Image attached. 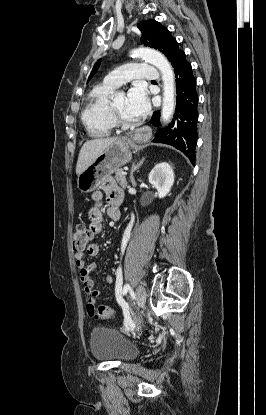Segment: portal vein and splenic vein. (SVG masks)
<instances>
[{"label": "portal vein and splenic vein", "mask_w": 266, "mask_h": 415, "mask_svg": "<svg viewBox=\"0 0 266 415\" xmlns=\"http://www.w3.org/2000/svg\"><path fill=\"white\" fill-rule=\"evenodd\" d=\"M122 174H123V175H126V174H127V172H122Z\"/></svg>", "instance_id": "obj_1"}]
</instances>
